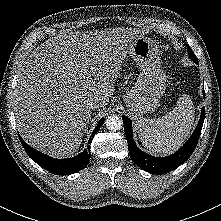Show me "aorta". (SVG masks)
<instances>
[{"label": "aorta", "mask_w": 221, "mask_h": 221, "mask_svg": "<svg viewBox=\"0 0 221 221\" xmlns=\"http://www.w3.org/2000/svg\"><path fill=\"white\" fill-rule=\"evenodd\" d=\"M107 129L117 131L122 127V120L118 115H110L105 121Z\"/></svg>", "instance_id": "762f6f07"}]
</instances>
